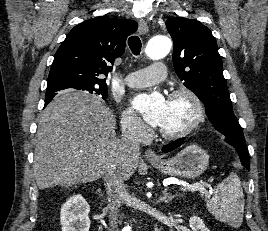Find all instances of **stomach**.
I'll return each mask as SVG.
<instances>
[{
	"label": "stomach",
	"mask_w": 268,
	"mask_h": 231,
	"mask_svg": "<svg viewBox=\"0 0 268 231\" xmlns=\"http://www.w3.org/2000/svg\"><path fill=\"white\" fill-rule=\"evenodd\" d=\"M160 172L181 178L193 179L204 173L209 165V155L197 145H189L167 160L151 161Z\"/></svg>",
	"instance_id": "0dacf381"
}]
</instances>
